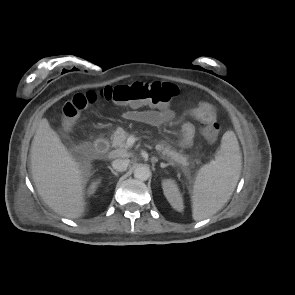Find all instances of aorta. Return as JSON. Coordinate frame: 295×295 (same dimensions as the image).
<instances>
[{"label":"aorta","instance_id":"1","mask_svg":"<svg viewBox=\"0 0 295 295\" xmlns=\"http://www.w3.org/2000/svg\"><path fill=\"white\" fill-rule=\"evenodd\" d=\"M151 175V171L147 166L144 165H139L135 170H134V177L138 180L141 181H146L149 179Z\"/></svg>","mask_w":295,"mask_h":295}]
</instances>
